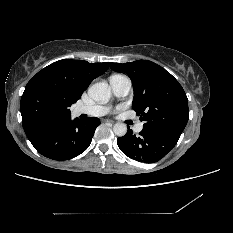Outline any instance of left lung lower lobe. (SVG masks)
Returning a JSON list of instances; mask_svg holds the SVG:
<instances>
[{
	"instance_id": "0a47b994",
	"label": "left lung lower lobe",
	"mask_w": 233,
	"mask_h": 233,
	"mask_svg": "<svg viewBox=\"0 0 233 233\" xmlns=\"http://www.w3.org/2000/svg\"><path fill=\"white\" fill-rule=\"evenodd\" d=\"M179 136L163 134L144 129L139 135L129 129L123 137L117 139L120 150L129 158L154 163L163 158L176 145Z\"/></svg>"
}]
</instances>
